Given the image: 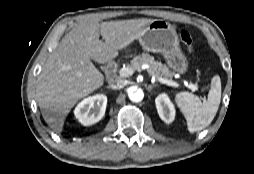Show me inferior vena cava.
I'll return each mask as SVG.
<instances>
[{"instance_id": "obj_1", "label": "inferior vena cava", "mask_w": 254, "mask_h": 174, "mask_svg": "<svg viewBox=\"0 0 254 174\" xmlns=\"http://www.w3.org/2000/svg\"><path fill=\"white\" fill-rule=\"evenodd\" d=\"M109 87L114 90L121 89L124 87V81L121 79L113 80L109 83Z\"/></svg>"}]
</instances>
